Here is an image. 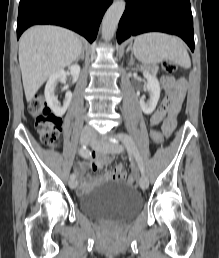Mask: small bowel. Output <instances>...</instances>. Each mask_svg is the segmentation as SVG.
Segmentation results:
<instances>
[{
  "mask_svg": "<svg viewBox=\"0 0 219 258\" xmlns=\"http://www.w3.org/2000/svg\"><path fill=\"white\" fill-rule=\"evenodd\" d=\"M162 82L166 89H163V100L160 104H156L155 112H152V117H167L165 118H149L148 122L151 126L162 127V131L166 136H169L176 127L177 115L180 110L181 102L184 98L186 83L182 78H174L165 76ZM112 161V156L103 152H94L91 154L88 162L81 163L76 169V175L79 178L80 187L79 192L85 193L88 191L91 180L85 177V171L90 168L93 171H98L102 168L104 163ZM128 171L124 167H114L113 171H109L106 178L112 179H128ZM103 178H100L102 180Z\"/></svg>",
  "mask_w": 219,
  "mask_h": 258,
  "instance_id": "1",
  "label": "small bowel"
}]
</instances>
